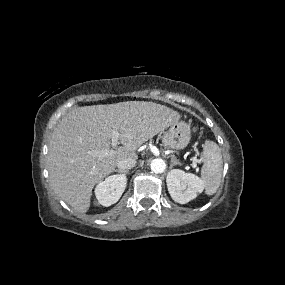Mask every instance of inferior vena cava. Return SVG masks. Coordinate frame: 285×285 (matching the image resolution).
<instances>
[{
	"instance_id": "inferior-vena-cava-1",
	"label": "inferior vena cava",
	"mask_w": 285,
	"mask_h": 285,
	"mask_svg": "<svg viewBox=\"0 0 285 285\" xmlns=\"http://www.w3.org/2000/svg\"><path fill=\"white\" fill-rule=\"evenodd\" d=\"M135 165H136V160L132 158L123 159L117 163V167L119 168V170H129L133 168Z\"/></svg>"
}]
</instances>
